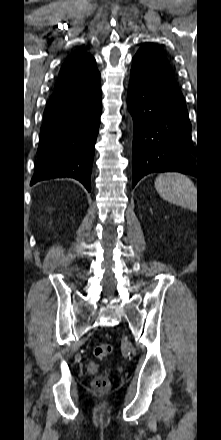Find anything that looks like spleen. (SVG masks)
I'll list each match as a JSON object with an SVG mask.
<instances>
[{"label":"spleen","mask_w":221,"mask_h":440,"mask_svg":"<svg viewBox=\"0 0 221 440\" xmlns=\"http://www.w3.org/2000/svg\"><path fill=\"white\" fill-rule=\"evenodd\" d=\"M155 188L163 199L171 203L191 210L196 208V186L183 174H160L155 180Z\"/></svg>","instance_id":"1"}]
</instances>
